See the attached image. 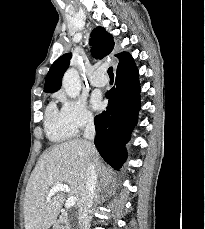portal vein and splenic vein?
Masks as SVG:
<instances>
[{"label": "portal vein and splenic vein", "instance_id": "18ae733b", "mask_svg": "<svg viewBox=\"0 0 205 229\" xmlns=\"http://www.w3.org/2000/svg\"><path fill=\"white\" fill-rule=\"evenodd\" d=\"M57 192L70 193L71 189L66 184H56L47 193V199H50ZM77 196H70L65 203L66 208H71L76 204Z\"/></svg>", "mask_w": 205, "mask_h": 229}]
</instances>
